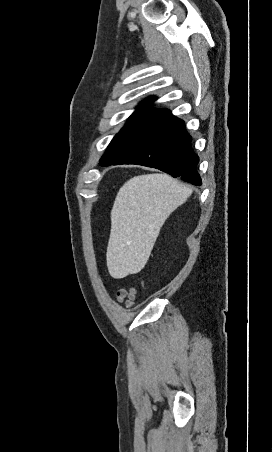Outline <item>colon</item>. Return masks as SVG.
<instances>
[{"label": "colon", "instance_id": "1", "mask_svg": "<svg viewBox=\"0 0 272 452\" xmlns=\"http://www.w3.org/2000/svg\"><path fill=\"white\" fill-rule=\"evenodd\" d=\"M135 297V291L132 288H121L117 292V298L120 302L125 303L127 306H131Z\"/></svg>", "mask_w": 272, "mask_h": 452}]
</instances>
